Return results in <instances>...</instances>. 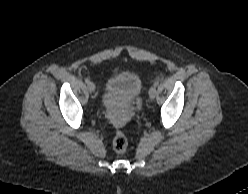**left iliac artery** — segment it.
<instances>
[{
    "instance_id": "left-iliac-artery-1",
    "label": "left iliac artery",
    "mask_w": 248,
    "mask_h": 194,
    "mask_svg": "<svg viewBox=\"0 0 248 194\" xmlns=\"http://www.w3.org/2000/svg\"><path fill=\"white\" fill-rule=\"evenodd\" d=\"M159 85V82L158 81H155L154 82V86L157 87Z\"/></svg>"
}]
</instances>
